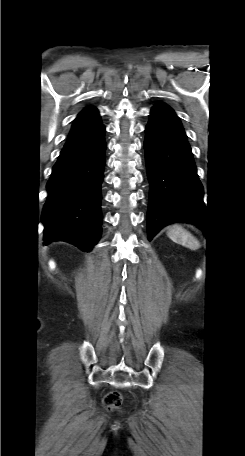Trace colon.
Returning a JSON list of instances; mask_svg holds the SVG:
<instances>
[{"label":"colon","instance_id":"colon-1","mask_svg":"<svg viewBox=\"0 0 245 456\" xmlns=\"http://www.w3.org/2000/svg\"><path fill=\"white\" fill-rule=\"evenodd\" d=\"M122 396L118 391H110L106 394L103 400V405L107 410H115L120 407Z\"/></svg>","mask_w":245,"mask_h":456}]
</instances>
